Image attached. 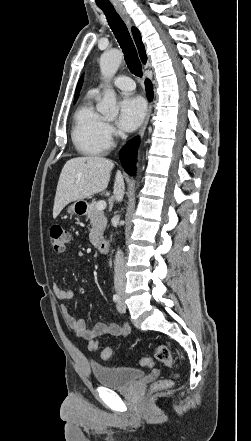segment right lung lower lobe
Here are the masks:
<instances>
[{"label":"right lung lower lobe","mask_w":251,"mask_h":441,"mask_svg":"<svg viewBox=\"0 0 251 441\" xmlns=\"http://www.w3.org/2000/svg\"><path fill=\"white\" fill-rule=\"evenodd\" d=\"M147 97L149 100L153 98L152 84L150 80L145 81ZM139 140L137 137L130 140L120 151V161L125 171L130 174H135L136 155L138 149Z\"/></svg>","instance_id":"obj_1"}]
</instances>
